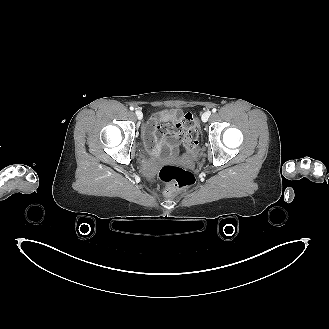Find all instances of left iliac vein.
<instances>
[{
    "instance_id": "obj_1",
    "label": "left iliac vein",
    "mask_w": 329,
    "mask_h": 329,
    "mask_svg": "<svg viewBox=\"0 0 329 329\" xmlns=\"http://www.w3.org/2000/svg\"><path fill=\"white\" fill-rule=\"evenodd\" d=\"M210 115H211V112H210V111H205V112L202 114V116H201L202 121H203V122H207L208 119H209V117H210Z\"/></svg>"
}]
</instances>
